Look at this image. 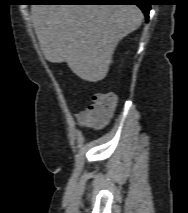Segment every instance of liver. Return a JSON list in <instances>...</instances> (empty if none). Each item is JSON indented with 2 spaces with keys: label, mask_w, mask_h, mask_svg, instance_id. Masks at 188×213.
<instances>
[{
  "label": "liver",
  "mask_w": 188,
  "mask_h": 213,
  "mask_svg": "<svg viewBox=\"0 0 188 213\" xmlns=\"http://www.w3.org/2000/svg\"><path fill=\"white\" fill-rule=\"evenodd\" d=\"M31 15L44 57L89 82L107 76L117 44L143 20L136 5L41 4Z\"/></svg>",
  "instance_id": "6515ba94"
}]
</instances>
